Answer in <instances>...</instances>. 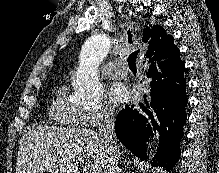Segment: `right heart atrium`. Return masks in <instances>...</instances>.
<instances>
[{
    "instance_id": "1",
    "label": "right heart atrium",
    "mask_w": 219,
    "mask_h": 173,
    "mask_svg": "<svg viewBox=\"0 0 219 173\" xmlns=\"http://www.w3.org/2000/svg\"><path fill=\"white\" fill-rule=\"evenodd\" d=\"M114 116V108L106 102H101L91 110L82 111V124L87 127H96L111 121Z\"/></svg>"
}]
</instances>
